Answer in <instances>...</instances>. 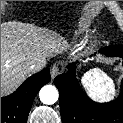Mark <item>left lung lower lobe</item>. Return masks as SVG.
<instances>
[{"label":"left lung lower lobe","mask_w":123,"mask_h":123,"mask_svg":"<svg viewBox=\"0 0 123 123\" xmlns=\"http://www.w3.org/2000/svg\"><path fill=\"white\" fill-rule=\"evenodd\" d=\"M108 57L123 58V45L108 46L100 50ZM68 73L54 79L59 90L63 123H123V80L121 93L109 103H96L80 88L75 76V64L68 65Z\"/></svg>","instance_id":"0a47b994"}]
</instances>
